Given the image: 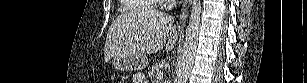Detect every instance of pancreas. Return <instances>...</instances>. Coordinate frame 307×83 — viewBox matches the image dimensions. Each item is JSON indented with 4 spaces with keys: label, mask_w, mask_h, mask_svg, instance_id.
Returning a JSON list of instances; mask_svg holds the SVG:
<instances>
[{
    "label": "pancreas",
    "mask_w": 307,
    "mask_h": 83,
    "mask_svg": "<svg viewBox=\"0 0 307 83\" xmlns=\"http://www.w3.org/2000/svg\"><path fill=\"white\" fill-rule=\"evenodd\" d=\"M160 73V65L153 66L149 71L148 75L150 78H154Z\"/></svg>",
    "instance_id": "cf45deb5"
}]
</instances>
